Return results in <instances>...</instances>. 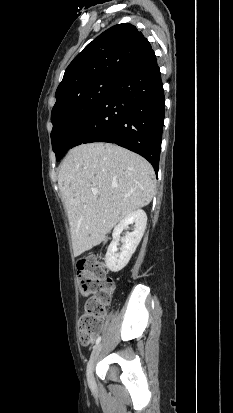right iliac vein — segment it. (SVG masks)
Returning <instances> with one entry per match:
<instances>
[{
  "label": "right iliac vein",
  "mask_w": 233,
  "mask_h": 413,
  "mask_svg": "<svg viewBox=\"0 0 233 413\" xmlns=\"http://www.w3.org/2000/svg\"><path fill=\"white\" fill-rule=\"evenodd\" d=\"M101 347V344H99L94 348L87 365V379L90 384L94 383V367L101 351Z\"/></svg>",
  "instance_id": "obj_1"
}]
</instances>
